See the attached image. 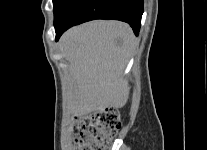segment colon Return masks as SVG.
Here are the masks:
<instances>
[{
	"label": "colon",
	"instance_id": "1",
	"mask_svg": "<svg viewBox=\"0 0 207 150\" xmlns=\"http://www.w3.org/2000/svg\"><path fill=\"white\" fill-rule=\"evenodd\" d=\"M121 127L117 111L105 109L85 114L77 119L78 150H106Z\"/></svg>",
	"mask_w": 207,
	"mask_h": 150
}]
</instances>
